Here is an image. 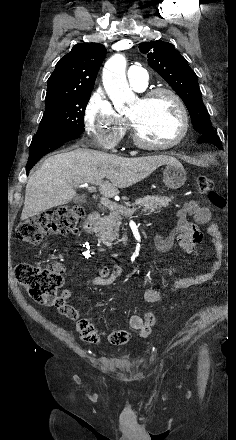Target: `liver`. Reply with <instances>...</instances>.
Listing matches in <instances>:
<instances>
[{
  "label": "liver",
  "mask_w": 236,
  "mask_h": 440,
  "mask_svg": "<svg viewBox=\"0 0 236 440\" xmlns=\"http://www.w3.org/2000/svg\"><path fill=\"white\" fill-rule=\"evenodd\" d=\"M174 160L165 155L127 158L83 148L53 155L27 182L21 220L69 203L76 184L97 185L103 196L113 197Z\"/></svg>",
  "instance_id": "obj_1"
}]
</instances>
